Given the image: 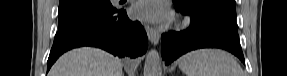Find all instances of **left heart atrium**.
<instances>
[{
  "instance_id": "1",
  "label": "left heart atrium",
  "mask_w": 287,
  "mask_h": 76,
  "mask_svg": "<svg viewBox=\"0 0 287 76\" xmlns=\"http://www.w3.org/2000/svg\"><path fill=\"white\" fill-rule=\"evenodd\" d=\"M132 12L136 17L152 22H164L170 17L167 3L163 0H139Z\"/></svg>"
}]
</instances>
